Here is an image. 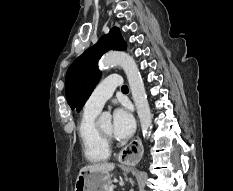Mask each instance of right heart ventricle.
<instances>
[{
    "label": "right heart ventricle",
    "mask_w": 233,
    "mask_h": 191,
    "mask_svg": "<svg viewBox=\"0 0 233 191\" xmlns=\"http://www.w3.org/2000/svg\"><path fill=\"white\" fill-rule=\"evenodd\" d=\"M97 115L98 112L84 110L78 126L84 156L91 163L103 162L110 156L108 143L97 131Z\"/></svg>",
    "instance_id": "obj_1"
}]
</instances>
